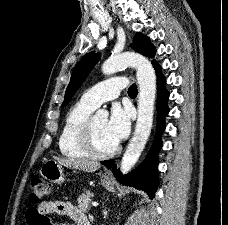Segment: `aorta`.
<instances>
[{"mask_svg":"<svg viewBox=\"0 0 228 225\" xmlns=\"http://www.w3.org/2000/svg\"><path fill=\"white\" fill-rule=\"evenodd\" d=\"M125 66H135L137 68V80L140 86L138 100L137 125L121 161L120 171L127 175L137 163L151 133L153 123V110L156 92V74L148 58L138 54V52H120L111 54L101 68L103 74H114ZM97 117H108V110L100 108L96 113Z\"/></svg>","mask_w":228,"mask_h":225,"instance_id":"obj_1","label":"aorta"}]
</instances>
